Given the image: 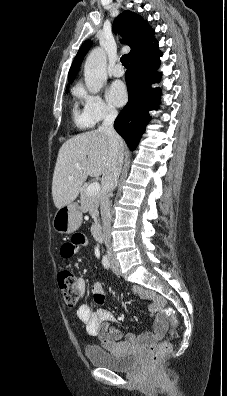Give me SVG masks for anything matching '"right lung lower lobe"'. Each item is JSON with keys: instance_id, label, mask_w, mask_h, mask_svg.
Wrapping results in <instances>:
<instances>
[{"instance_id": "obj_1", "label": "right lung lower lobe", "mask_w": 227, "mask_h": 396, "mask_svg": "<svg viewBox=\"0 0 227 396\" xmlns=\"http://www.w3.org/2000/svg\"><path fill=\"white\" fill-rule=\"evenodd\" d=\"M157 41L139 51L130 59V67L125 78L129 101L114 122L115 130L125 139L130 150H134L149 122V111L153 110L159 98V88H152L153 83L160 81L161 73Z\"/></svg>"}]
</instances>
